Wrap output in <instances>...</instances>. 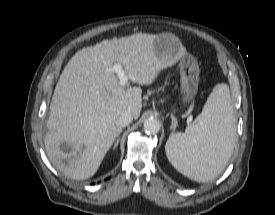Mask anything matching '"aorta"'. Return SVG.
I'll return each mask as SVG.
<instances>
[{
  "mask_svg": "<svg viewBox=\"0 0 275 215\" xmlns=\"http://www.w3.org/2000/svg\"><path fill=\"white\" fill-rule=\"evenodd\" d=\"M161 127V123L157 118L150 117L144 121L143 128L148 134L158 133Z\"/></svg>",
  "mask_w": 275,
  "mask_h": 215,
  "instance_id": "1",
  "label": "aorta"
}]
</instances>
